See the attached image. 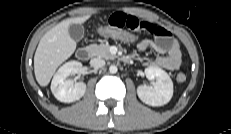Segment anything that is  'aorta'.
Segmentation results:
<instances>
[{
    "label": "aorta",
    "mask_w": 231,
    "mask_h": 134,
    "mask_svg": "<svg viewBox=\"0 0 231 134\" xmlns=\"http://www.w3.org/2000/svg\"><path fill=\"white\" fill-rule=\"evenodd\" d=\"M109 71H110V73L115 74V73H117L118 68H117L116 65H111V66L109 67Z\"/></svg>",
    "instance_id": "aorta-1"
}]
</instances>
